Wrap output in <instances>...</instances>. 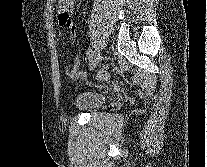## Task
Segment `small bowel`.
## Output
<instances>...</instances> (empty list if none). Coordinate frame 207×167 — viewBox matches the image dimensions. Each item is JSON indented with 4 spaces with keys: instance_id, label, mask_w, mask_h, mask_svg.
Returning <instances> with one entry per match:
<instances>
[{
    "instance_id": "obj_1",
    "label": "small bowel",
    "mask_w": 207,
    "mask_h": 167,
    "mask_svg": "<svg viewBox=\"0 0 207 167\" xmlns=\"http://www.w3.org/2000/svg\"><path fill=\"white\" fill-rule=\"evenodd\" d=\"M76 1L77 0H58L57 3L58 13H59L57 18L58 23L60 26L65 27L69 31L71 43H73L76 38V26L70 18L75 10ZM58 36L60 38H63L64 33L60 31L58 33ZM89 59L90 58L88 57L87 54L82 57V60L84 62L89 61ZM80 63H81L80 57L78 55H75L73 59V66L71 68L66 67L64 69L65 75L68 76L73 81L84 79L86 77V73L80 70Z\"/></svg>"
}]
</instances>
